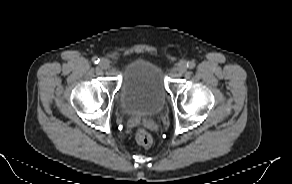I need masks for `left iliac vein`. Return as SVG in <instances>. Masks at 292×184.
Listing matches in <instances>:
<instances>
[{"label":"left iliac vein","mask_w":292,"mask_h":184,"mask_svg":"<svg viewBox=\"0 0 292 184\" xmlns=\"http://www.w3.org/2000/svg\"><path fill=\"white\" fill-rule=\"evenodd\" d=\"M187 70V63L186 61L182 60L180 61L176 66V71L180 74L185 73Z\"/></svg>","instance_id":"left-iliac-vein-1"}]
</instances>
